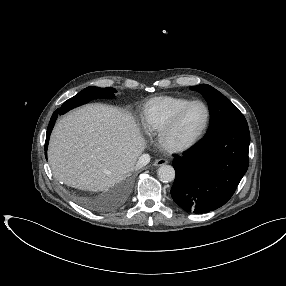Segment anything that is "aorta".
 I'll list each match as a JSON object with an SVG mask.
<instances>
[{
	"label": "aorta",
	"instance_id": "aorta-1",
	"mask_svg": "<svg viewBox=\"0 0 286 286\" xmlns=\"http://www.w3.org/2000/svg\"><path fill=\"white\" fill-rule=\"evenodd\" d=\"M158 177L163 182H171L175 178V170L171 165H162L158 169Z\"/></svg>",
	"mask_w": 286,
	"mask_h": 286
}]
</instances>
